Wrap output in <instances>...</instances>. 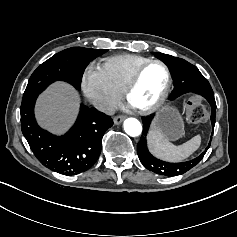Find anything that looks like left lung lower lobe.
Segmentation results:
<instances>
[{"label": "left lung lower lobe", "instance_id": "0a47b994", "mask_svg": "<svg viewBox=\"0 0 237 237\" xmlns=\"http://www.w3.org/2000/svg\"><path fill=\"white\" fill-rule=\"evenodd\" d=\"M205 99L210 103L211 105V123H212V127L214 128L215 125V115H216V102L214 99V94L212 95H208L207 97H205Z\"/></svg>", "mask_w": 237, "mask_h": 237}]
</instances>
